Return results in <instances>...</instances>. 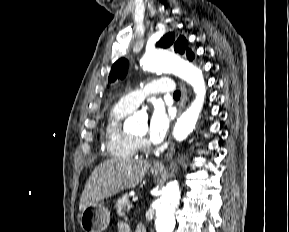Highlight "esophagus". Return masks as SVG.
Here are the masks:
<instances>
[{"label":"esophagus","mask_w":289,"mask_h":232,"mask_svg":"<svg viewBox=\"0 0 289 232\" xmlns=\"http://www.w3.org/2000/svg\"><path fill=\"white\" fill-rule=\"evenodd\" d=\"M187 102V89L184 84H181V101L178 107V116L182 113ZM174 154V143H171L168 152L166 153L163 160L154 164V169L162 170L164 168V162L172 158Z\"/></svg>","instance_id":"esophagus-1"}]
</instances>
